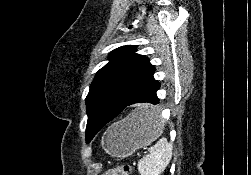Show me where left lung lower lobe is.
<instances>
[{"mask_svg": "<svg viewBox=\"0 0 251 175\" xmlns=\"http://www.w3.org/2000/svg\"><path fill=\"white\" fill-rule=\"evenodd\" d=\"M155 69L135 88L129 100L124 104L110 103L95 111L97 120L104 126L115 118L127 117L136 120H151L161 115L156 95L160 84L154 79Z\"/></svg>", "mask_w": 251, "mask_h": 175, "instance_id": "left-lung-lower-lobe-1", "label": "left lung lower lobe"}]
</instances>
